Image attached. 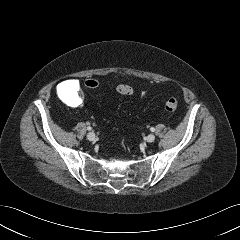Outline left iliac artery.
<instances>
[{
  "label": "left iliac artery",
  "mask_w": 240,
  "mask_h": 240,
  "mask_svg": "<svg viewBox=\"0 0 240 240\" xmlns=\"http://www.w3.org/2000/svg\"><path fill=\"white\" fill-rule=\"evenodd\" d=\"M150 130H151L152 132H154V131H155V128L152 127Z\"/></svg>",
  "instance_id": "obj_1"
}]
</instances>
